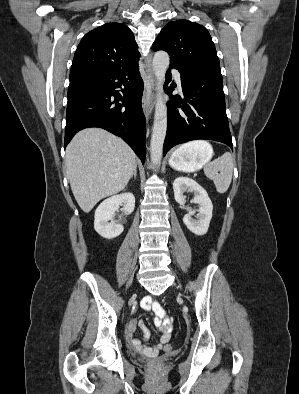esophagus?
<instances>
[{
	"mask_svg": "<svg viewBox=\"0 0 299 394\" xmlns=\"http://www.w3.org/2000/svg\"><path fill=\"white\" fill-rule=\"evenodd\" d=\"M152 56L149 55L147 59V80L150 85V92L144 91L142 96V107L146 114L150 115L154 107V96L156 92V80L151 67Z\"/></svg>",
	"mask_w": 299,
	"mask_h": 394,
	"instance_id": "esophagus-1",
	"label": "esophagus"
}]
</instances>
